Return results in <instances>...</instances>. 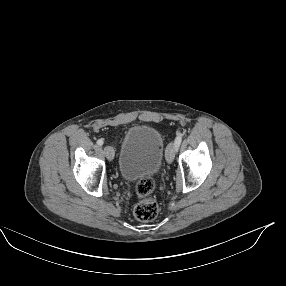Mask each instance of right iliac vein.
Instances as JSON below:
<instances>
[{"label": "right iliac vein", "mask_w": 286, "mask_h": 286, "mask_svg": "<svg viewBox=\"0 0 286 286\" xmlns=\"http://www.w3.org/2000/svg\"><path fill=\"white\" fill-rule=\"evenodd\" d=\"M104 153L109 161H112L115 155L114 149L111 146L104 147Z\"/></svg>", "instance_id": "1"}]
</instances>
